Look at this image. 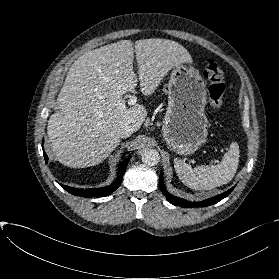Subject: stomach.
I'll use <instances>...</instances> for the list:
<instances>
[{"mask_svg": "<svg viewBox=\"0 0 279 279\" xmlns=\"http://www.w3.org/2000/svg\"><path fill=\"white\" fill-rule=\"evenodd\" d=\"M206 103V84L199 72L182 64L173 67L168 82V107L162 136L177 154H192L206 141Z\"/></svg>", "mask_w": 279, "mask_h": 279, "instance_id": "stomach-1", "label": "stomach"}]
</instances>
